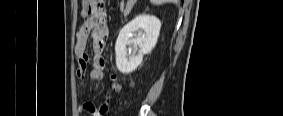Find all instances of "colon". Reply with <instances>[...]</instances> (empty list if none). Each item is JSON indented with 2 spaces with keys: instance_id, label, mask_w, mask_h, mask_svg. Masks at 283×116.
Returning <instances> with one entry per match:
<instances>
[{
  "instance_id": "obj_1",
  "label": "colon",
  "mask_w": 283,
  "mask_h": 116,
  "mask_svg": "<svg viewBox=\"0 0 283 116\" xmlns=\"http://www.w3.org/2000/svg\"><path fill=\"white\" fill-rule=\"evenodd\" d=\"M109 75H110V80L112 82V89L114 91H118L120 89V86L117 83L116 76L114 75V73L112 71H110Z\"/></svg>"
}]
</instances>
